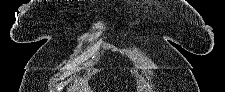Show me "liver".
<instances>
[{
    "label": "liver",
    "mask_w": 225,
    "mask_h": 92,
    "mask_svg": "<svg viewBox=\"0 0 225 92\" xmlns=\"http://www.w3.org/2000/svg\"><path fill=\"white\" fill-rule=\"evenodd\" d=\"M72 90H73L72 92H81V91H80V90H81L80 88H72ZM87 90H89V89H87ZM88 92H89V91H88Z\"/></svg>",
    "instance_id": "obj_1"
}]
</instances>
